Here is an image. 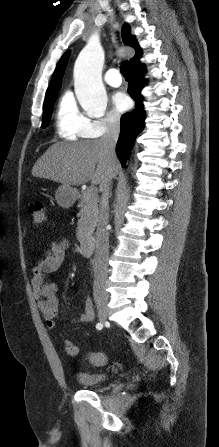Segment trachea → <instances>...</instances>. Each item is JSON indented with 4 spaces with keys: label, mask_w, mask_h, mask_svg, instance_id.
Wrapping results in <instances>:
<instances>
[{
    "label": "trachea",
    "mask_w": 219,
    "mask_h": 447,
    "mask_svg": "<svg viewBox=\"0 0 219 447\" xmlns=\"http://www.w3.org/2000/svg\"><path fill=\"white\" fill-rule=\"evenodd\" d=\"M128 66H129V63L127 61H125L121 64L120 72L124 78L128 77Z\"/></svg>",
    "instance_id": "1"
}]
</instances>
